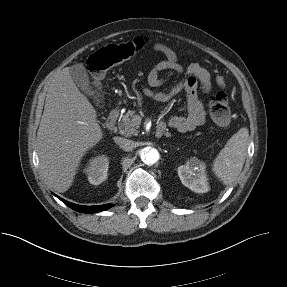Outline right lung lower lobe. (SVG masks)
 Here are the masks:
<instances>
[{
  "mask_svg": "<svg viewBox=\"0 0 287 287\" xmlns=\"http://www.w3.org/2000/svg\"><path fill=\"white\" fill-rule=\"evenodd\" d=\"M58 197V196H57ZM64 204H66L67 206H69L70 208H72L75 211L78 212H83V213H95V212H100V211H104L106 209H109L112 207V205L110 204H104V205H99V206H82V205H77L71 202H68L60 197H58Z\"/></svg>",
  "mask_w": 287,
  "mask_h": 287,
  "instance_id": "obj_1",
  "label": "right lung lower lobe"
}]
</instances>
